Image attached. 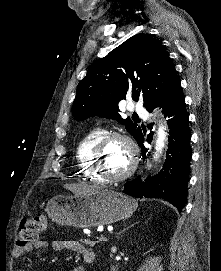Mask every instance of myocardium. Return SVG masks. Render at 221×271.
Returning a JSON list of instances; mask_svg holds the SVG:
<instances>
[{
    "instance_id": "f54148a6",
    "label": "myocardium",
    "mask_w": 221,
    "mask_h": 271,
    "mask_svg": "<svg viewBox=\"0 0 221 271\" xmlns=\"http://www.w3.org/2000/svg\"><path fill=\"white\" fill-rule=\"evenodd\" d=\"M130 140H134L127 132H109V137H104L100 140V145H95L96 153L92 156V169L94 170L95 175H100V178H130V175L133 174L132 170H137V161H138V153H139V145H134V142H130ZM110 142H121L122 150H128L126 157L127 160L130 161V165H128L129 169L125 170L124 173H116L115 175H108L106 171H103L102 166V156L105 155V150L107 149L106 145H110ZM135 155V157H134Z\"/></svg>"
}]
</instances>
